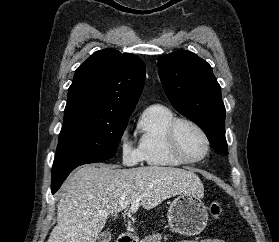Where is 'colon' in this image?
<instances>
[{"mask_svg": "<svg viewBox=\"0 0 279 242\" xmlns=\"http://www.w3.org/2000/svg\"><path fill=\"white\" fill-rule=\"evenodd\" d=\"M209 214L212 219L218 220L223 214V206L219 201H214L209 206Z\"/></svg>", "mask_w": 279, "mask_h": 242, "instance_id": "obj_1", "label": "colon"}]
</instances>
